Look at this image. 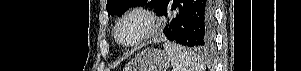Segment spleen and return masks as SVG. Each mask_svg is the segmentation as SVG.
Returning <instances> with one entry per match:
<instances>
[{"mask_svg": "<svg viewBox=\"0 0 301 71\" xmlns=\"http://www.w3.org/2000/svg\"><path fill=\"white\" fill-rule=\"evenodd\" d=\"M173 71H205V65L195 52L172 42L164 43Z\"/></svg>", "mask_w": 301, "mask_h": 71, "instance_id": "obj_1", "label": "spleen"}]
</instances>
